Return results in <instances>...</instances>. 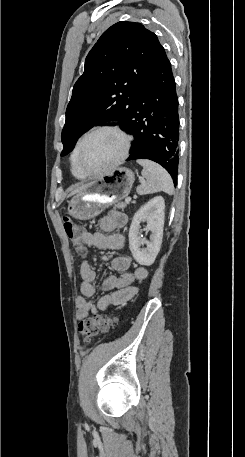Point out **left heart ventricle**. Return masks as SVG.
Segmentation results:
<instances>
[{
	"mask_svg": "<svg viewBox=\"0 0 245 457\" xmlns=\"http://www.w3.org/2000/svg\"><path fill=\"white\" fill-rule=\"evenodd\" d=\"M121 147V138L113 132H98L86 142L81 161L89 171H97L110 165L120 154Z\"/></svg>",
	"mask_w": 245,
	"mask_h": 457,
	"instance_id": "obj_1",
	"label": "left heart ventricle"
}]
</instances>
